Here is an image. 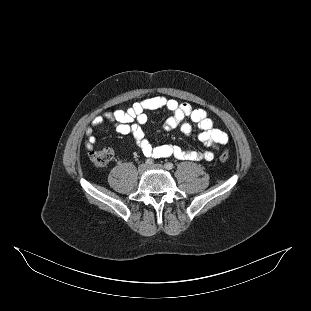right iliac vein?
<instances>
[{
    "mask_svg": "<svg viewBox=\"0 0 311 311\" xmlns=\"http://www.w3.org/2000/svg\"><path fill=\"white\" fill-rule=\"evenodd\" d=\"M148 170V166L146 164H141L138 167L139 174H144Z\"/></svg>",
    "mask_w": 311,
    "mask_h": 311,
    "instance_id": "1",
    "label": "right iliac vein"
}]
</instances>
